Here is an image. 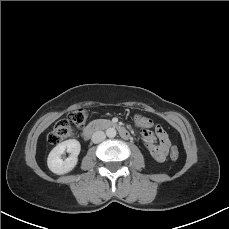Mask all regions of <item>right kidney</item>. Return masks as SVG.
I'll list each match as a JSON object with an SVG mask.
<instances>
[{"label":"right kidney","instance_id":"obj_1","mask_svg":"<svg viewBox=\"0 0 229 229\" xmlns=\"http://www.w3.org/2000/svg\"><path fill=\"white\" fill-rule=\"evenodd\" d=\"M81 150L79 141L69 139L56 145L48 155V168L55 174L63 175L74 169L78 162V155ZM71 153L68 158H61L64 152Z\"/></svg>","mask_w":229,"mask_h":229}]
</instances>
